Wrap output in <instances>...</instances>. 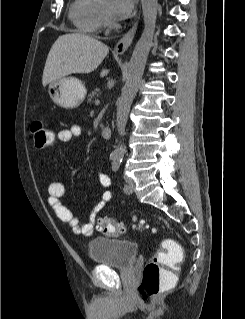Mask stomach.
<instances>
[{"label": "stomach", "mask_w": 245, "mask_h": 319, "mask_svg": "<svg viewBox=\"0 0 245 319\" xmlns=\"http://www.w3.org/2000/svg\"><path fill=\"white\" fill-rule=\"evenodd\" d=\"M84 83L76 77H63L50 82L48 93L51 100L65 109L77 108L86 96Z\"/></svg>", "instance_id": "0dacf381"}]
</instances>
